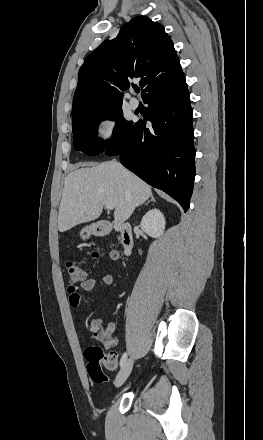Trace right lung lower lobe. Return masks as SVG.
<instances>
[{"label":"right lung lower lobe","instance_id":"obj_1","mask_svg":"<svg viewBox=\"0 0 263 440\" xmlns=\"http://www.w3.org/2000/svg\"><path fill=\"white\" fill-rule=\"evenodd\" d=\"M148 103L152 127L135 122L108 155L120 154L121 163L148 184L174 198L186 212L195 177L193 113L182 70L149 90Z\"/></svg>","mask_w":263,"mask_h":440}]
</instances>
